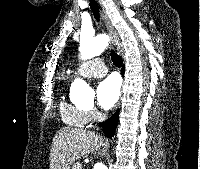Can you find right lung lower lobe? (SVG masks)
<instances>
[{
	"mask_svg": "<svg viewBox=\"0 0 200 169\" xmlns=\"http://www.w3.org/2000/svg\"><path fill=\"white\" fill-rule=\"evenodd\" d=\"M122 75L124 74V68L121 69ZM119 110L115 112L114 115H112L104 124H103V131L104 134L111 138L114 135L117 123H118V118H119Z\"/></svg>",
	"mask_w": 200,
	"mask_h": 169,
	"instance_id": "1",
	"label": "right lung lower lobe"
}]
</instances>
